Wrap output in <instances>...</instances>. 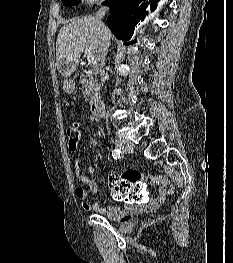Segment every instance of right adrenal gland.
Segmentation results:
<instances>
[{"label":"right adrenal gland","instance_id":"right-adrenal-gland-1","mask_svg":"<svg viewBox=\"0 0 233 263\" xmlns=\"http://www.w3.org/2000/svg\"><path fill=\"white\" fill-rule=\"evenodd\" d=\"M110 45H111V42L109 41L107 43V46H106L105 56L108 54V49H109Z\"/></svg>","mask_w":233,"mask_h":263}]
</instances>
